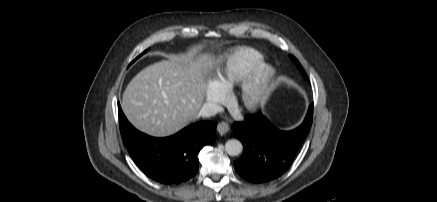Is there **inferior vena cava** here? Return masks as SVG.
<instances>
[{"instance_id":"obj_1","label":"inferior vena cava","mask_w":437,"mask_h":202,"mask_svg":"<svg viewBox=\"0 0 437 202\" xmlns=\"http://www.w3.org/2000/svg\"><path fill=\"white\" fill-rule=\"evenodd\" d=\"M221 111V106L213 102L204 103L200 109V115L202 117H210L216 115Z\"/></svg>"}]
</instances>
